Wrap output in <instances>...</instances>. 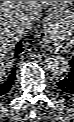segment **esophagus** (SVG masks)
<instances>
[{
  "label": "esophagus",
  "mask_w": 74,
  "mask_h": 122,
  "mask_svg": "<svg viewBox=\"0 0 74 122\" xmlns=\"http://www.w3.org/2000/svg\"><path fill=\"white\" fill-rule=\"evenodd\" d=\"M47 28H48V24H44V25H43V29L41 30V34H42V35H44V34L46 35V30H47Z\"/></svg>",
  "instance_id": "esophagus-1"
}]
</instances>
